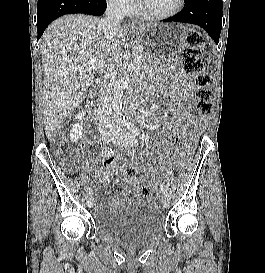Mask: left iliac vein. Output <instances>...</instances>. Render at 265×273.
<instances>
[{
    "instance_id": "1",
    "label": "left iliac vein",
    "mask_w": 265,
    "mask_h": 273,
    "mask_svg": "<svg viewBox=\"0 0 265 273\" xmlns=\"http://www.w3.org/2000/svg\"><path fill=\"white\" fill-rule=\"evenodd\" d=\"M115 143H117L120 146H135L137 143L136 138L125 129L122 130L121 134L116 137ZM162 205L164 208H168L170 205V199L167 194H164L162 197Z\"/></svg>"
}]
</instances>
